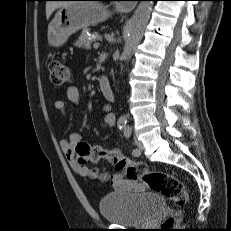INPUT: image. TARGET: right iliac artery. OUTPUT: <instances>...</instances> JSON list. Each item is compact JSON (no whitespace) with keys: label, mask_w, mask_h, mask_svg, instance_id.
Instances as JSON below:
<instances>
[{"label":"right iliac artery","mask_w":231,"mask_h":231,"mask_svg":"<svg viewBox=\"0 0 231 231\" xmlns=\"http://www.w3.org/2000/svg\"><path fill=\"white\" fill-rule=\"evenodd\" d=\"M125 126H126V121L123 120V119H120V120L118 121V128H119L120 130H123V129L125 128Z\"/></svg>","instance_id":"82829eb1"}]
</instances>
